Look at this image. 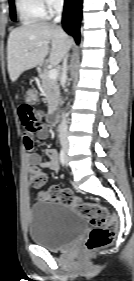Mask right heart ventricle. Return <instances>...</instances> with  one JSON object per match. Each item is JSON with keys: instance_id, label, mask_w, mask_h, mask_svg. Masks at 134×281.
I'll list each match as a JSON object with an SVG mask.
<instances>
[{"instance_id": "obj_1", "label": "right heart ventricle", "mask_w": 134, "mask_h": 281, "mask_svg": "<svg viewBox=\"0 0 134 281\" xmlns=\"http://www.w3.org/2000/svg\"><path fill=\"white\" fill-rule=\"evenodd\" d=\"M19 18L24 24H31L47 17L41 0H16Z\"/></svg>"}]
</instances>
